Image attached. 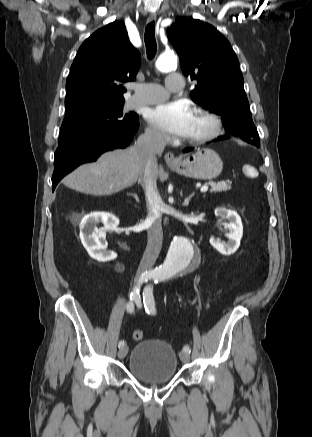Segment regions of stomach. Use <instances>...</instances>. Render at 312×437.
<instances>
[{
    "label": "stomach",
    "mask_w": 312,
    "mask_h": 437,
    "mask_svg": "<svg viewBox=\"0 0 312 437\" xmlns=\"http://www.w3.org/2000/svg\"><path fill=\"white\" fill-rule=\"evenodd\" d=\"M169 167L176 173L194 179L211 180L220 175L223 162L212 149L204 148L187 155Z\"/></svg>",
    "instance_id": "0dacf381"
}]
</instances>
